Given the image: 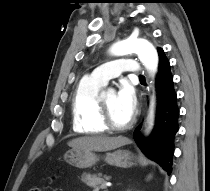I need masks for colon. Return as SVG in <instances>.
Segmentation results:
<instances>
[{
	"label": "colon",
	"mask_w": 210,
	"mask_h": 191,
	"mask_svg": "<svg viewBox=\"0 0 210 191\" xmlns=\"http://www.w3.org/2000/svg\"><path fill=\"white\" fill-rule=\"evenodd\" d=\"M29 191H44V189L41 187H34V188H31Z\"/></svg>",
	"instance_id": "5ec220e1"
}]
</instances>
